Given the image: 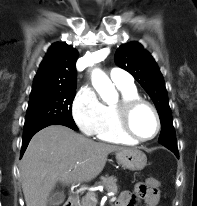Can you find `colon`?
<instances>
[{
  "label": "colon",
  "mask_w": 197,
  "mask_h": 206,
  "mask_svg": "<svg viewBox=\"0 0 197 206\" xmlns=\"http://www.w3.org/2000/svg\"><path fill=\"white\" fill-rule=\"evenodd\" d=\"M159 182L156 179H148L145 183L139 185V191L144 192L147 188L156 189Z\"/></svg>",
  "instance_id": "obj_1"
}]
</instances>
